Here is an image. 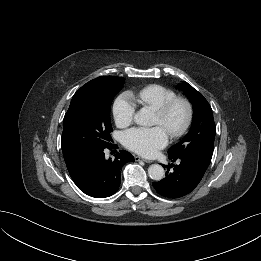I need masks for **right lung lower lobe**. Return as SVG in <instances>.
I'll list each match as a JSON object with an SVG mask.
<instances>
[{
  "mask_svg": "<svg viewBox=\"0 0 261 261\" xmlns=\"http://www.w3.org/2000/svg\"><path fill=\"white\" fill-rule=\"evenodd\" d=\"M115 149L117 145L85 151L64 158L69 174L77 187L85 194L104 198L113 195L121 183L122 167L134 161V157L120 150L114 158H106L105 149Z\"/></svg>",
  "mask_w": 261,
  "mask_h": 261,
  "instance_id": "right-lung-lower-lobe-1",
  "label": "right lung lower lobe"
}]
</instances>
